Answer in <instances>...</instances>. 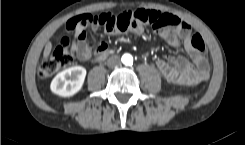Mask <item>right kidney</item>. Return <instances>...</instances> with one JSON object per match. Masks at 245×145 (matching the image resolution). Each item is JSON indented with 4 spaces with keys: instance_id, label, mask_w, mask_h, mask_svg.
I'll return each instance as SVG.
<instances>
[{
    "instance_id": "ca27d5eb",
    "label": "right kidney",
    "mask_w": 245,
    "mask_h": 145,
    "mask_svg": "<svg viewBox=\"0 0 245 145\" xmlns=\"http://www.w3.org/2000/svg\"><path fill=\"white\" fill-rule=\"evenodd\" d=\"M86 69L82 66H73L58 73L50 84L53 93L70 97L80 91L83 86Z\"/></svg>"
}]
</instances>
